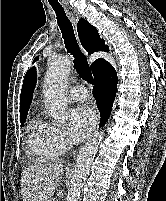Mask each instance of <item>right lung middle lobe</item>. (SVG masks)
I'll use <instances>...</instances> for the list:
<instances>
[{
	"label": "right lung middle lobe",
	"instance_id": "right-lung-middle-lobe-1",
	"mask_svg": "<svg viewBox=\"0 0 166 201\" xmlns=\"http://www.w3.org/2000/svg\"><path fill=\"white\" fill-rule=\"evenodd\" d=\"M25 120H26V117L20 118L21 125H23V124H24Z\"/></svg>",
	"mask_w": 166,
	"mask_h": 201
}]
</instances>
